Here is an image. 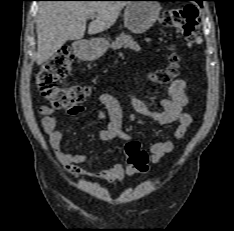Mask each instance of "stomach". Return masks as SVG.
Segmentation results:
<instances>
[{
	"mask_svg": "<svg viewBox=\"0 0 234 231\" xmlns=\"http://www.w3.org/2000/svg\"><path fill=\"white\" fill-rule=\"evenodd\" d=\"M161 6L159 2L150 0H133L124 10V25L134 34L146 32L159 18ZM109 46L105 38H95L90 41L77 42L75 52L85 61H93L107 51Z\"/></svg>",
	"mask_w": 234,
	"mask_h": 231,
	"instance_id": "1",
	"label": "stomach"
}]
</instances>
